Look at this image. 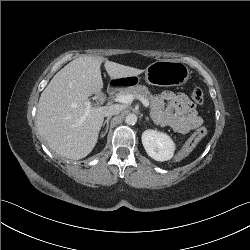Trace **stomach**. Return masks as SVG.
<instances>
[{
  "label": "stomach",
  "mask_w": 250,
  "mask_h": 250,
  "mask_svg": "<svg viewBox=\"0 0 250 250\" xmlns=\"http://www.w3.org/2000/svg\"><path fill=\"white\" fill-rule=\"evenodd\" d=\"M188 67L179 61L159 60L150 64L145 70V80L156 86H181L189 79ZM123 80L122 86L133 87L138 83V76L119 78ZM117 80V79H115Z\"/></svg>",
  "instance_id": "obj_1"
}]
</instances>
